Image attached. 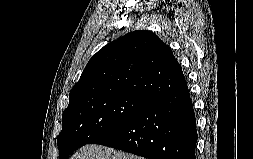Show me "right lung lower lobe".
I'll use <instances>...</instances> for the list:
<instances>
[{
	"label": "right lung lower lobe",
	"instance_id": "right-lung-lower-lobe-1",
	"mask_svg": "<svg viewBox=\"0 0 253 159\" xmlns=\"http://www.w3.org/2000/svg\"><path fill=\"white\" fill-rule=\"evenodd\" d=\"M196 119L187 83L92 143L148 159H196Z\"/></svg>",
	"mask_w": 253,
	"mask_h": 159
}]
</instances>
